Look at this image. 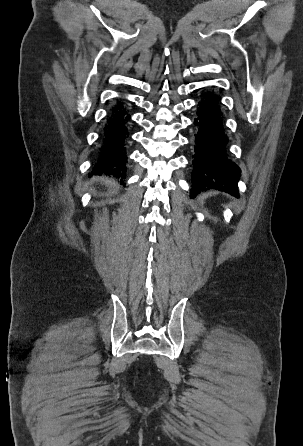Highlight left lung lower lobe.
I'll return each instance as SVG.
<instances>
[{
    "instance_id": "left-lung-lower-lobe-1",
    "label": "left lung lower lobe",
    "mask_w": 303,
    "mask_h": 446,
    "mask_svg": "<svg viewBox=\"0 0 303 446\" xmlns=\"http://www.w3.org/2000/svg\"><path fill=\"white\" fill-rule=\"evenodd\" d=\"M199 128L195 140L191 197L213 188L238 197L240 169L226 156L227 137L223 131L218 100L207 93L198 104Z\"/></svg>"
}]
</instances>
